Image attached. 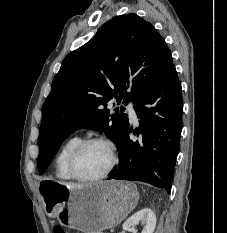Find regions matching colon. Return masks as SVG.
Wrapping results in <instances>:
<instances>
[{
    "mask_svg": "<svg viewBox=\"0 0 227 233\" xmlns=\"http://www.w3.org/2000/svg\"><path fill=\"white\" fill-rule=\"evenodd\" d=\"M53 233H70V232L61 226H55L53 228Z\"/></svg>",
    "mask_w": 227,
    "mask_h": 233,
    "instance_id": "obj_1",
    "label": "colon"
}]
</instances>
